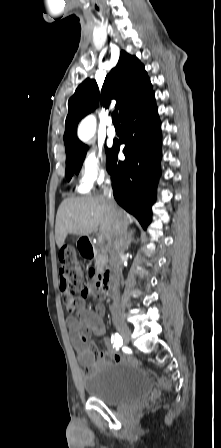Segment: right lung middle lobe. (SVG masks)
<instances>
[{"label":"right lung middle lobe","instance_id":"obj_1","mask_svg":"<svg viewBox=\"0 0 221 448\" xmlns=\"http://www.w3.org/2000/svg\"><path fill=\"white\" fill-rule=\"evenodd\" d=\"M87 147L80 153L66 157V178L69 181L73 174H78L83 164ZM111 149H106L107 158Z\"/></svg>","mask_w":221,"mask_h":448}]
</instances>
